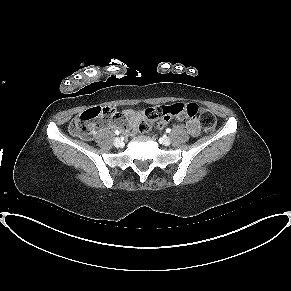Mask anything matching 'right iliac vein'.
Here are the masks:
<instances>
[{
	"label": "right iliac vein",
	"mask_w": 291,
	"mask_h": 291,
	"mask_svg": "<svg viewBox=\"0 0 291 291\" xmlns=\"http://www.w3.org/2000/svg\"><path fill=\"white\" fill-rule=\"evenodd\" d=\"M114 145H115V147H121L123 145V142L120 138L116 137L114 139Z\"/></svg>",
	"instance_id": "63e3f726"
}]
</instances>
